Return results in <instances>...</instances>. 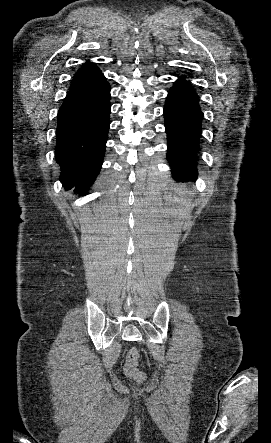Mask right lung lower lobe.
<instances>
[{"label":"right lung lower lobe","instance_id":"obj_1","mask_svg":"<svg viewBox=\"0 0 271 443\" xmlns=\"http://www.w3.org/2000/svg\"><path fill=\"white\" fill-rule=\"evenodd\" d=\"M110 86L106 78L71 85L58 111L56 161L65 190L82 195L98 175L109 130Z\"/></svg>","mask_w":271,"mask_h":443}]
</instances>
